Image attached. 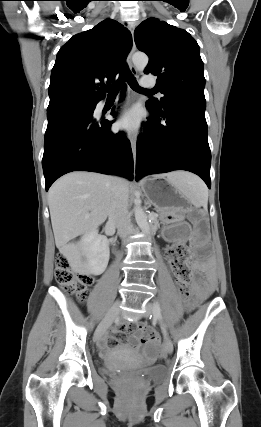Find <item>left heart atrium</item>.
<instances>
[{
    "instance_id": "left-heart-atrium-1",
    "label": "left heart atrium",
    "mask_w": 261,
    "mask_h": 427,
    "mask_svg": "<svg viewBox=\"0 0 261 427\" xmlns=\"http://www.w3.org/2000/svg\"><path fill=\"white\" fill-rule=\"evenodd\" d=\"M141 124L142 119L139 110L132 108L117 117L115 126L118 130L135 136L140 132Z\"/></svg>"
}]
</instances>
